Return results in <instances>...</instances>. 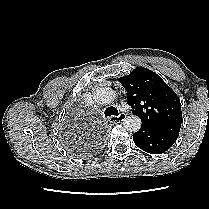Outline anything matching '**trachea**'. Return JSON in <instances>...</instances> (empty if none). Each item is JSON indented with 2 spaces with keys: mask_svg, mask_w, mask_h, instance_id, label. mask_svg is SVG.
Here are the masks:
<instances>
[{
  "mask_svg": "<svg viewBox=\"0 0 209 209\" xmlns=\"http://www.w3.org/2000/svg\"><path fill=\"white\" fill-rule=\"evenodd\" d=\"M104 114H105V117L111 116V115H114V116L119 115L118 110L115 107L106 108V110L104 111Z\"/></svg>",
  "mask_w": 209,
  "mask_h": 209,
  "instance_id": "3493384b",
  "label": "trachea"
}]
</instances>
